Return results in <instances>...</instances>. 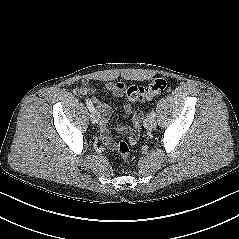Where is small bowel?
Listing matches in <instances>:
<instances>
[{
  "instance_id": "1",
  "label": "small bowel",
  "mask_w": 239,
  "mask_h": 239,
  "mask_svg": "<svg viewBox=\"0 0 239 239\" xmlns=\"http://www.w3.org/2000/svg\"><path fill=\"white\" fill-rule=\"evenodd\" d=\"M100 89L103 92L110 93L114 97L119 98L124 95L125 85L121 82H107ZM98 90L99 89L97 86L89 82H84L76 89V93L79 95H88V94L95 95L98 92ZM92 102L97 106V108L101 113V122H100L101 139L106 146L113 148L115 143L113 141L111 131L108 127V121L112 115V109L108 104L100 102L96 97L92 98ZM124 114L126 116L132 114V109L129 105H124ZM137 116L138 115L134 116V121L132 125H123L118 128L119 132L129 135V141L132 144H135L139 138V134L136 135L134 133V126Z\"/></svg>"
}]
</instances>
